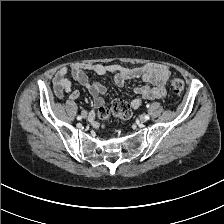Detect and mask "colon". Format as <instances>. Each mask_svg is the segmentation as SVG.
<instances>
[{"label": "colon", "instance_id": "5ec220e1", "mask_svg": "<svg viewBox=\"0 0 224 224\" xmlns=\"http://www.w3.org/2000/svg\"><path fill=\"white\" fill-rule=\"evenodd\" d=\"M170 85L172 90L176 94H180L184 90V81L177 77V76H172L170 79ZM111 116H116L119 117L122 120H127L131 116V110L129 105L122 99H116L112 101L109 107L101 106L98 110V117L106 121L108 120Z\"/></svg>", "mask_w": 224, "mask_h": 224}]
</instances>
